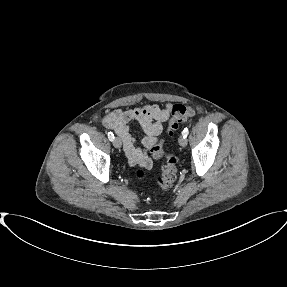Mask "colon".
I'll return each instance as SVG.
<instances>
[{"label": "colon", "instance_id": "obj_1", "mask_svg": "<svg viewBox=\"0 0 287 287\" xmlns=\"http://www.w3.org/2000/svg\"><path fill=\"white\" fill-rule=\"evenodd\" d=\"M194 115V109L189 105L176 104L171 108V116L167 126V136L171 137L178 129L179 125L190 119ZM155 158H164L165 162L161 174L157 177L156 183L163 190H169L177 178V157L174 154H166L160 142H156L151 148ZM136 176L139 180H144L147 176L146 168L137 170Z\"/></svg>", "mask_w": 287, "mask_h": 287}]
</instances>
